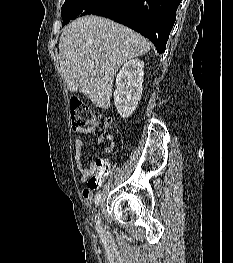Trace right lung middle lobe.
I'll return each mask as SVG.
<instances>
[{
    "mask_svg": "<svg viewBox=\"0 0 233 263\" xmlns=\"http://www.w3.org/2000/svg\"><path fill=\"white\" fill-rule=\"evenodd\" d=\"M121 2L122 0H65L61 14L63 19L62 26L82 15L110 13Z\"/></svg>",
    "mask_w": 233,
    "mask_h": 263,
    "instance_id": "1",
    "label": "right lung middle lobe"
}]
</instances>
